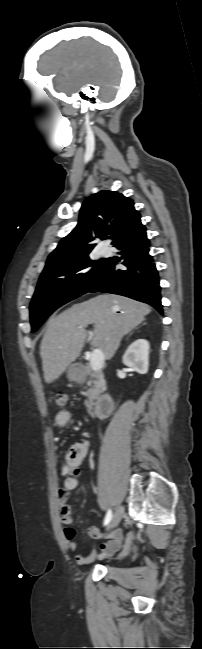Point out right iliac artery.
<instances>
[{"instance_id": "right-iliac-artery-1", "label": "right iliac artery", "mask_w": 202, "mask_h": 649, "mask_svg": "<svg viewBox=\"0 0 202 649\" xmlns=\"http://www.w3.org/2000/svg\"><path fill=\"white\" fill-rule=\"evenodd\" d=\"M111 519H112V511L108 510V512H107V514L105 516L104 525L105 526L108 525L110 523Z\"/></svg>"}]
</instances>
